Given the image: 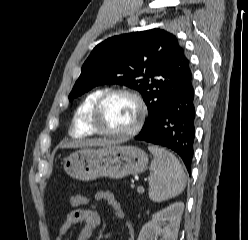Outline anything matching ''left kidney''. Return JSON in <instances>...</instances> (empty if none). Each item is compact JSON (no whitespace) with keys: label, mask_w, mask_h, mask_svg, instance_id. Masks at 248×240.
Returning a JSON list of instances; mask_svg holds the SVG:
<instances>
[{"label":"left kidney","mask_w":248,"mask_h":240,"mask_svg":"<svg viewBox=\"0 0 248 240\" xmlns=\"http://www.w3.org/2000/svg\"><path fill=\"white\" fill-rule=\"evenodd\" d=\"M184 210L182 202H176L155 213L152 220L146 223L137 240H177L181 217Z\"/></svg>","instance_id":"5707ae66"}]
</instances>
